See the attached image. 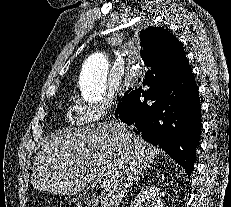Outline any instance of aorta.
Instances as JSON below:
<instances>
[{
    "label": "aorta",
    "instance_id": "obj_1",
    "mask_svg": "<svg viewBox=\"0 0 231 207\" xmlns=\"http://www.w3.org/2000/svg\"><path fill=\"white\" fill-rule=\"evenodd\" d=\"M108 67V60L102 52H95L85 60L79 84L86 102L98 103L104 98Z\"/></svg>",
    "mask_w": 231,
    "mask_h": 207
}]
</instances>
